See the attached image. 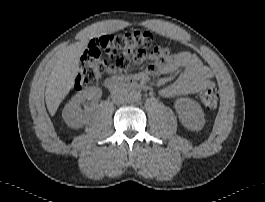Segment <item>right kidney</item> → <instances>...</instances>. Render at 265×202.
Returning <instances> with one entry per match:
<instances>
[{
	"instance_id": "1",
	"label": "right kidney",
	"mask_w": 265,
	"mask_h": 202,
	"mask_svg": "<svg viewBox=\"0 0 265 202\" xmlns=\"http://www.w3.org/2000/svg\"><path fill=\"white\" fill-rule=\"evenodd\" d=\"M102 96V90L96 87H89L78 92L67 103L62 112V117L66 124L71 128H80L86 124L88 113L82 110L85 101H91L92 104L98 103Z\"/></svg>"
}]
</instances>
